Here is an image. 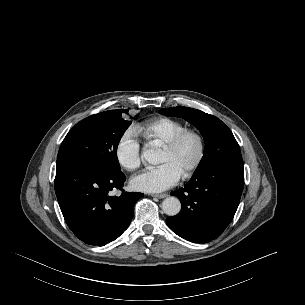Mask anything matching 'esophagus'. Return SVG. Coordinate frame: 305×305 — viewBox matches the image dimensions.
I'll return each mask as SVG.
<instances>
[{
	"label": "esophagus",
	"mask_w": 305,
	"mask_h": 305,
	"mask_svg": "<svg viewBox=\"0 0 305 305\" xmlns=\"http://www.w3.org/2000/svg\"><path fill=\"white\" fill-rule=\"evenodd\" d=\"M152 197L158 198V199H163L167 197V194H152Z\"/></svg>",
	"instance_id": "34e87169"
}]
</instances>
